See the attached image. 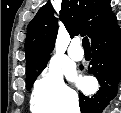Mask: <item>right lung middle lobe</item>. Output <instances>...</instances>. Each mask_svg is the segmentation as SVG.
<instances>
[{"label":"right lung middle lobe","mask_w":121,"mask_h":113,"mask_svg":"<svg viewBox=\"0 0 121 113\" xmlns=\"http://www.w3.org/2000/svg\"><path fill=\"white\" fill-rule=\"evenodd\" d=\"M49 58L42 61L37 67L26 71V88L30 90L35 79L40 75L46 67Z\"/></svg>","instance_id":"obj_1"}]
</instances>
